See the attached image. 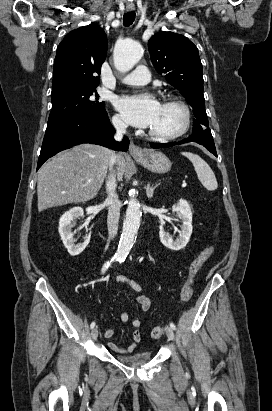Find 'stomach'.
<instances>
[{
  "label": "stomach",
  "instance_id": "stomach-1",
  "mask_svg": "<svg viewBox=\"0 0 272 411\" xmlns=\"http://www.w3.org/2000/svg\"><path fill=\"white\" fill-rule=\"evenodd\" d=\"M134 158L146 169L155 173H165L171 168L168 157L159 151H148L143 156H134Z\"/></svg>",
  "mask_w": 272,
  "mask_h": 411
}]
</instances>
